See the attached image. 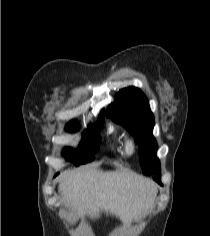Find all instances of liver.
<instances>
[{
	"instance_id": "6515ba94",
	"label": "liver",
	"mask_w": 210,
	"mask_h": 236,
	"mask_svg": "<svg viewBox=\"0 0 210 236\" xmlns=\"http://www.w3.org/2000/svg\"><path fill=\"white\" fill-rule=\"evenodd\" d=\"M63 200L77 210L78 216L99 218L112 214L124 224L143 218L154 206V182L124 171H102L91 167L65 174L58 187Z\"/></svg>"
}]
</instances>
